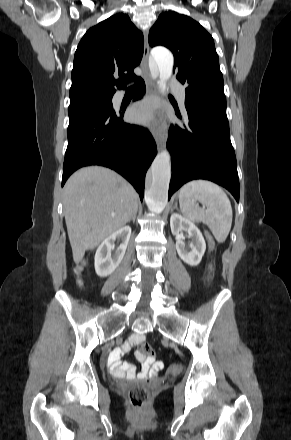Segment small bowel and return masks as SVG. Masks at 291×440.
<instances>
[{
	"label": "small bowel",
	"instance_id": "c3829d8e",
	"mask_svg": "<svg viewBox=\"0 0 291 440\" xmlns=\"http://www.w3.org/2000/svg\"><path fill=\"white\" fill-rule=\"evenodd\" d=\"M143 334H134L131 338L122 344L119 350L114 351L108 358V365L110 368V372L119 378L127 377L129 379H149L156 377L160 371L163 369L164 364L160 361H155V359H151L149 357H139L140 362L142 363L141 370L137 372L134 365L129 362H121L118 359L119 352H128L130 351L138 342L144 339ZM174 370L177 372H182L184 370L183 363H177L174 366Z\"/></svg>",
	"mask_w": 291,
	"mask_h": 440
}]
</instances>
